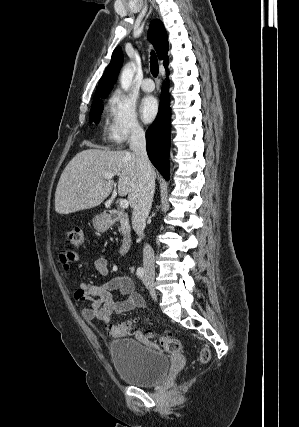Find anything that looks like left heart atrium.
<instances>
[{"label":"left heart atrium","mask_w":299,"mask_h":427,"mask_svg":"<svg viewBox=\"0 0 299 427\" xmlns=\"http://www.w3.org/2000/svg\"><path fill=\"white\" fill-rule=\"evenodd\" d=\"M139 112L142 120L145 123L151 122L158 112V104L156 99L152 96L144 97L140 102Z\"/></svg>","instance_id":"obj_1"}]
</instances>
